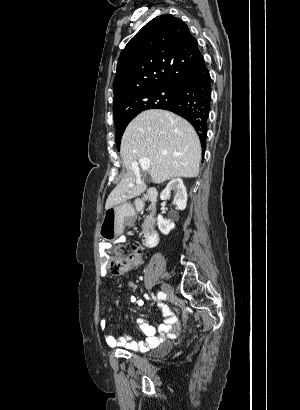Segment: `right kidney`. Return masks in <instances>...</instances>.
I'll use <instances>...</instances> for the list:
<instances>
[{
	"mask_svg": "<svg viewBox=\"0 0 300 410\" xmlns=\"http://www.w3.org/2000/svg\"><path fill=\"white\" fill-rule=\"evenodd\" d=\"M172 192L175 194L174 204L177 206V209L184 210L187 204V192L181 178L172 179L167 184L166 188L161 192L160 199H169ZM157 224L159 230L164 235L169 234V232L175 227L174 222H172L171 220H165L160 214L157 217Z\"/></svg>",
	"mask_w": 300,
	"mask_h": 410,
	"instance_id": "1",
	"label": "right kidney"
}]
</instances>
